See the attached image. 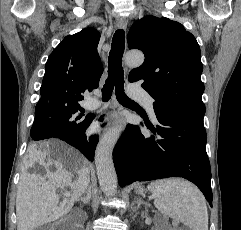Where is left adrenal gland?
I'll use <instances>...</instances> for the list:
<instances>
[{"mask_svg":"<svg viewBox=\"0 0 241 230\" xmlns=\"http://www.w3.org/2000/svg\"><path fill=\"white\" fill-rule=\"evenodd\" d=\"M137 206L134 208V211H136L138 208H139V206L141 205V204H143V202H142V200L141 199H137Z\"/></svg>","mask_w":241,"mask_h":230,"instance_id":"a2214340","label":"left adrenal gland"}]
</instances>
